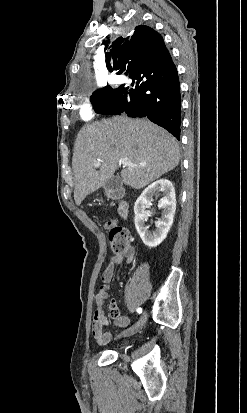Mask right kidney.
Returning a JSON list of instances; mask_svg holds the SVG:
<instances>
[{
    "instance_id": "right-kidney-1",
    "label": "right kidney",
    "mask_w": 247,
    "mask_h": 413,
    "mask_svg": "<svg viewBox=\"0 0 247 413\" xmlns=\"http://www.w3.org/2000/svg\"><path fill=\"white\" fill-rule=\"evenodd\" d=\"M156 192H163V198H160L158 202L159 209H162V217L156 221L157 229L149 231V227L146 225L148 213L145 209L152 204ZM175 211V188L168 178H159L144 188L134 204V223L144 245L153 249L166 239L174 221Z\"/></svg>"
}]
</instances>
